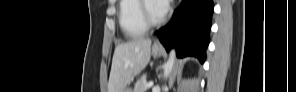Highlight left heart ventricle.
Returning a JSON list of instances; mask_svg holds the SVG:
<instances>
[{"mask_svg":"<svg viewBox=\"0 0 296 92\" xmlns=\"http://www.w3.org/2000/svg\"><path fill=\"white\" fill-rule=\"evenodd\" d=\"M149 12H150V15L153 19H159L161 18L157 12L155 11V8H154V2H150V5H149Z\"/></svg>","mask_w":296,"mask_h":92,"instance_id":"left-heart-ventricle-1","label":"left heart ventricle"}]
</instances>
